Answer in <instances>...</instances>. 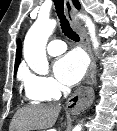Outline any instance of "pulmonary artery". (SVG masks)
I'll list each match as a JSON object with an SVG mask.
<instances>
[{"label":"pulmonary artery","instance_id":"obj_1","mask_svg":"<svg viewBox=\"0 0 117 131\" xmlns=\"http://www.w3.org/2000/svg\"><path fill=\"white\" fill-rule=\"evenodd\" d=\"M66 49H67L66 44L62 40L58 39L50 41L47 45V52L51 56L60 55L63 52H65Z\"/></svg>","mask_w":117,"mask_h":131}]
</instances>
